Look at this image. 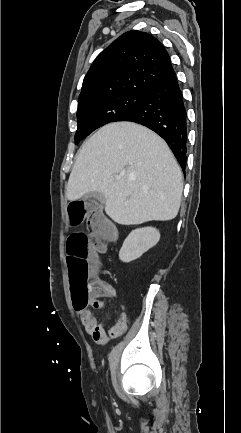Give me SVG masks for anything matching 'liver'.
I'll return each mask as SVG.
<instances>
[{
	"label": "liver",
	"mask_w": 241,
	"mask_h": 433,
	"mask_svg": "<svg viewBox=\"0 0 241 433\" xmlns=\"http://www.w3.org/2000/svg\"><path fill=\"white\" fill-rule=\"evenodd\" d=\"M94 191L104 195L105 212L118 224L168 221L180 208L183 175L156 133L133 122H115L79 149L66 197L74 201Z\"/></svg>",
	"instance_id": "6515ba94"
}]
</instances>
